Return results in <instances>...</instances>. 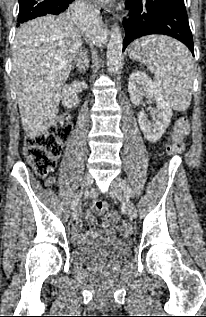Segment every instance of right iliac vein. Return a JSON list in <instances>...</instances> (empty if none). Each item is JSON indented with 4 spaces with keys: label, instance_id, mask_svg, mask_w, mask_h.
<instances>
[{
    "label": "right iliac vein",
    "instance_id": "63e3f726",
    "mask_svg": "<svg viewBox=\"0 0 206 317\" xmlns=\"http://www.w3.org/2000/svg\"><path fill=\"white\" fill-rule=\"evenodd\" d=\"M92 183H93L92 176L90 174H86L82 180V184H81L82 190L86 191L92 185ZM80 213H81V207H80V204H77L72 213L73 220H77L80 216Z\"/></svg>",
    "mask_w": 206,
    "mask_h": 317
}]
</instances>
